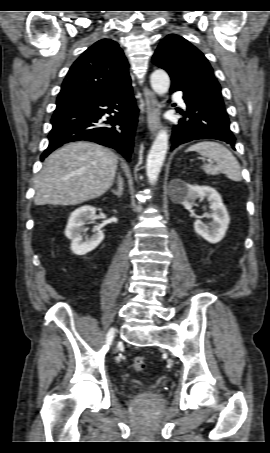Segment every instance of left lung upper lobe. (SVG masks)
<instances>
[{
  "instance_id": "obj_1",
  "label": "left lung upper lobe",
  "mask_w": 270,
  "mask_h": 453,
  "mask_svg": "<svg viewBox=\"0 0 270 453\" xmlns=\"http://www.w3.org/2000/svg\"><path fill=\"white\" fill-rule=\"evenodd\" d=\"M153 63L166 70L172 85L179 86L189 97L225 111L212 67L202 52L183 37L166 36L153 56Z\"/></svg>"
}]
</instances>
